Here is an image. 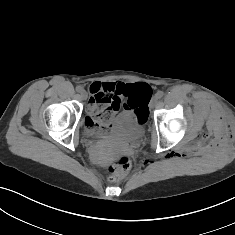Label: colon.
I'll use <instances>...</instances> for the list:
<instances>
[{
	"label": "colon",
	"mask_w": 235,
	"mask_h": 235,
	"mask_svg": "<svg viewBox=\"0 0 235 235\" xmlns=\"http://www.w3.org/2000/svg\"><path fill=\"white\" fill-rule=\"evenodd\" d=\"M151 93V88L145 83H136L126 90L125 106L133 110L137 117L142 121H146L148 117V109L146 100ZM112 119V114L108 109H104L93 116L86 118V124L93 128H101L108 124ZM131 163L126 155L118 156L112 161L108 167L109 181L118 182L123 179L129 172Z\"/></svg>",
	"instance_id": "obj_1"
}]
</instances>
